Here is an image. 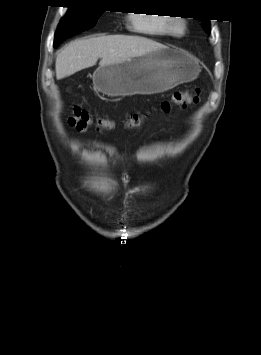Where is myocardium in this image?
<instances>
[{"label": "myocardium", "instance_id": "f54148a6", "mask_svg": "<svg viewBox=\"0 0 261 355\" xmlns=\"http://www.w3.org/2000/svg\"><path fill=\"white\" fill-rule=\"evenodd\" d=\"M169 31L174 36H184L187 31V23L184 20H173L170 22Z\"/></svg>", "mask_w": 261, "mask_h": 355}]
</instances>
